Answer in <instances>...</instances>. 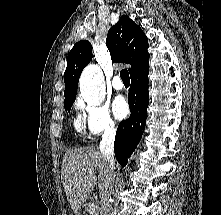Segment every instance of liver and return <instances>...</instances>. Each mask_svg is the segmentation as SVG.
Listing matches in <instances>:
<instances>
[{
    "label": "liver",
    "instance_id": "liver-1",
    "mask_svg": "<svg viewBox=\"0 0 221 215\" xmlns=\"http://www.w3.org/2000/svg\"><path fill=\"white\" fill-rule=\"evenodd\" d=\"M108 179V164L98 148L72 149L64 155L61 180L75 213L79 212L95 185H98L100 195L104 193Z\"/></svg>",
    "mask_w": 221,
    "mask_h": 215
}]
</instances>
